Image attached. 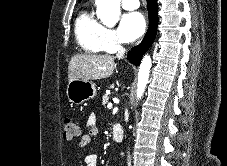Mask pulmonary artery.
<instances>
[{
  "label": "pulmonary artery",
  "instance_id": "e3ab8cb5",
  "mask_svg": "<svg viewBox=\"0 0 227 166\" xmlns=\"http://www.w3.org/2000/svg\"><path fill=\"white\" fill-rule=\"evenodd\" d=\"M121 5L126 10H135L139 8V0H122Z\"/></svg>",
  "mask_w": 227,
  "mask_h": 166
}]
</instances>
